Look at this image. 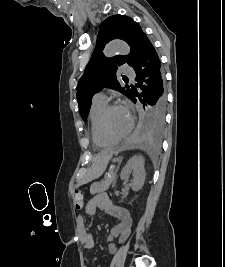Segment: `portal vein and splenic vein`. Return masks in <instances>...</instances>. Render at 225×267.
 Segmentation results:
<instances>
[{
    "label": "portal vein and splenic vein",
    "instance_id": "1",
    "mask_svg": "<svg viewBox=\"0 0 225 267\" xmlns=\"http://www.w3.org/2000/svg\"><path fill=\"white\" fill-rule=\"evenodd\" d=\"M110 168H111V169H113V168H114V166H111Z\"/></svg>",
    "mask_w": 225,
    "mask_h": 267
}]
</instances>
